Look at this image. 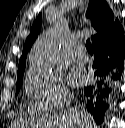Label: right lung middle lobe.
I'll return each instance as SVG.
<instances>
[{
  "mask_svg": "<svg viewBox=\"0 0 125 128\" xmlns=\"http://www.w3.org/2000/svg\"><path fill=\"white\" fill-rule=\"evenodd\" d=\"M23 73H24V70L17 73L16 92H18L21 88V85H22V82H23Z\"/></svg>",
  "mask_w": 125,
  "mask_h": 128,
  "instance_id": "dd1d6c3e",
  "label": "right lung middle lobe"
}]
</instances>
